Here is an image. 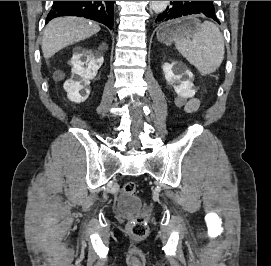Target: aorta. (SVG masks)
Returning a JSON list of instances; mask_svg holds the SVG:
<instances>
[{"mask_svg":"<svg viewBox=\"0 0 271 266\" xmlns=\"http://www.w3.org/2000/svg\"><path fill=\"white\" fill-rule=\"evenodd\" d=\"M170 1H151V8L155 13H162Z\"/></svg>","mask_w":271,"mask_h":266,"instance_id":"obj_1","label":"aorta"}]
</instances>
